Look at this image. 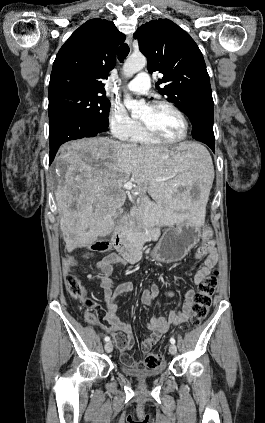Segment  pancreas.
<instances>
[{
    "instance_id": "pancreas-1",
    "label": "pancreas",
    "mask_w": 265,
    "mask_h": 423,
    "mask_svg": "<svg viewBox=\"0 0 265 423\" xmlns=\"http://www.w3.org/2000/svg\"><path fill=\"white\" fill-rule=\"evenodd\" d=\"M159 232V228H148L130 226L126 232L128 238L131 240L132 245H138L146 242Z\"/></svg>"
}]
</instances>
